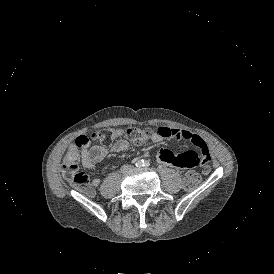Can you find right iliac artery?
I'll return each instance as SVG.
<instances>
[{
	"mask_svg": "<svg viewBox=\"0 0 274 274\" xmlns=\"http://www.w3.org/2000/svg\"><path fill=\"white\" fill-rule=\"evenodd\" d=\"M144 165V161L143 160H138L135 164L136 167L140 168Z\"/></svg>",
	"mask_w": 274,
	"mask_h": 274,
	"instance_id": "82829eb1",
	"label": "right iliac artery"
}]
</instances>
